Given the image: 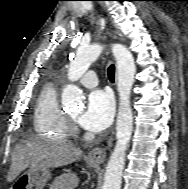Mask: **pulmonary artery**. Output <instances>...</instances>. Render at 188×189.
<instances>
[{
  "label": "pulmonary artery",
  "instance_id": "e3ab8cb5",
  "mask_svg": "<svg viewBox=\"0 0 188 189\" xmlns=\"http://www.w3.org/2000/svg\"><path fill=\"white\" fill-rule=\"evenodd\" d=\"M79 83L85 87L91 88L98 84V77L95 72L90 71L79 79Z\"/></svg>",
  "mask_w": 188,
  "mask_h": 189
}]
</instances>
